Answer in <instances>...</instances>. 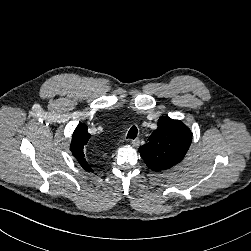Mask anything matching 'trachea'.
<instances>
[{"instance_id": "obj_1", "label": "trachea", "mask_w": 251, "mask_h": 251, "mask_svg": "<svg viewBox=\"0 0 251 251\" xmlns=\"http://www.w3.org/2000/svg\"><path fill=\"white\" fill-rule=\"evenodd\" d=\"M138 130L136 126L131 127V129L129 130L128 134H127V138L129 139H135L137 136Z\"/></svg>"}]
</instances>
